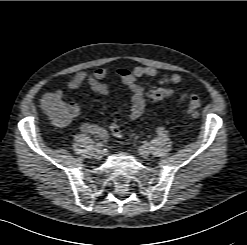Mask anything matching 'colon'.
I'll return each instance as SVG.
<instances>
[{"label": "colon", "mask_w": 247, "mask_h": 245, "mask_svg": "<svg viewBox=\"0 0 247 245\" xmlns=\"http://www.w3.org/2000/svg\"><path fill=\"white\" fill-rule=\"evenodd\" d=\"M169 93V90L166 88L154 87L148 92V96L153 101H159L166 98ZM199 107L200 100L198 96L192 95L189 101V113L194 117L197 116ZM43 109L50 119L57 125H65L69 120V108L67 102L64 100L50 99ZM110 130L115 137H121V128L117 123L112 122L110 124Z\"/></svg>", "instance_id": "obj_1"}]
</instances>
